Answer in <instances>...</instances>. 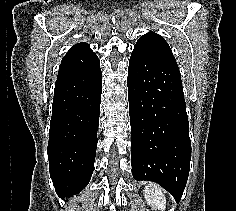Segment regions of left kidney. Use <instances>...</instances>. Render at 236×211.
<instances>
[{
	"label": "left kidney",
	"mask_w": 236,
	"mask_h": 211,
	"mask_svg": "<svg viewBox=\"0 0 236 211\" xmlns=\"http://www.w3.org/2000/svg\"><path fill=\"white\" fill-rule=\"evenodd\" d=\"M143 191L148 205H150L155 210H165L166 199L160 188H158L155 184L150 183Z\"/></svg>",
	"instance_id": "5707ae66"
}]
</instances>
